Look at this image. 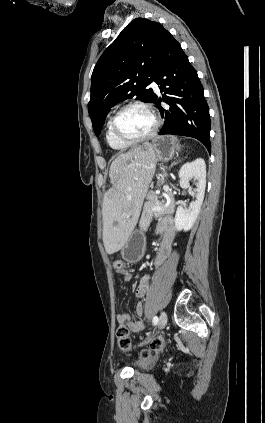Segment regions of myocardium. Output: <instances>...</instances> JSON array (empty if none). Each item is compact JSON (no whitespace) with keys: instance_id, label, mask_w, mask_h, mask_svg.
<instances>
[{"instance_id":"myocardium-1","label":"myocardium","mask_w":265,"mask_h":423,"mask_svg":"<svg viewBox=\"0 0 265 423\" xmlns=\"http://www.w3.org/2000/svg\"><path fill=\"white\" fill-rule=\"evenodd\" d=\"M130 108H141L143 110H145L153 119V127L152 129L144 136L138 137V138H129L125 135H123L119 129H118V119L121 116V114L123 112H125L126 110L130 109ZM160 127V118L157 115L156 111L154 110V108L144 102H140V101H134V102H130L124 106H122L112 117L111 119V130L113 132V135L121 142L129 144V145H133V144H138L144 141H147L151 138H153Z\"/></svg>"}]
</instances>
